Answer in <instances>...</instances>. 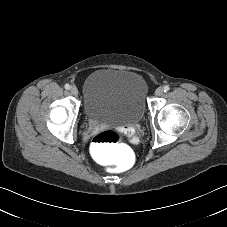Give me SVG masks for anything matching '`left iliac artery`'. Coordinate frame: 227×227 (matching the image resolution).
I'll return each instance as SVG.
<instances>
[{"label": "left iliac artery", "instance_id": "obj_1", "mask_svg": "<svg viewBox=\"0 0 227 227\" xmlns=\"http://www.w3.org/2000/svg\"><path fill=\"white\" fill-rule=\"evenodd\" d=\"M164 92H168L170 90V87L168 85L164 86L163 88Z\"/></svg>", "mask_w": 227, "mask_h": 227}]
</instances>
